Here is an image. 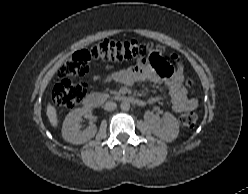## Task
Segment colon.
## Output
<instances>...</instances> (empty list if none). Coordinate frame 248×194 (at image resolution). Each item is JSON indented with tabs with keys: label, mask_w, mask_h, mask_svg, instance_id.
<instances>
[{
	"label": "colon",
	"mask_w": 248,
	"mask_h": 194,
	"mask_svg": "<svg viewBox=\"0 0 248 194\" xmlns=\"http://www.w3.org/2000/svg\"><path fill=\"white\" fill-rule=\"evenodd\" d=\"M163 49L151 42L129 41L115 42L102 40L90 49H81L70 56L58 71L59 82L52 93L54 102L65 108H74L80 104L88 91L86 81L74 83L75 77L85 78L89 73V63L92 59L105 61H127L148 56L157 67L163 64L161 57ZM189 87L192 81H187ZM198 116L196 112L189 111L181 117L184 126L192 127L196 124Z\"/></svg>",
	"instance_id": "1"
}]
</instances>
